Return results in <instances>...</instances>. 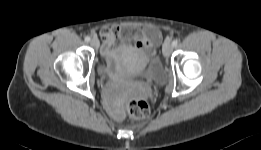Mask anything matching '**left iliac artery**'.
<instances>
[{
	"label": "left iliac artery",
	"instance_id": "1",
	"mask_svg": "<svg viewBox=\"0 0 261 150\" xmlns=\"http://www.w3.org/2000/svg\"><path fill=\"white\" fill-rule=\"evenodd\" d=\"M177 44H178V41H177V40H173V41H172V46H173V47H176Z\"/></svg>",
	"mask_w": 261,
	"mask_h": 150
}]
</instances>
